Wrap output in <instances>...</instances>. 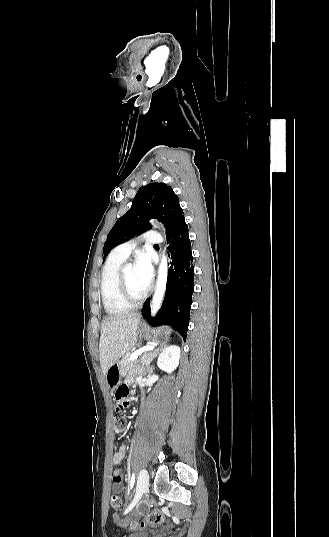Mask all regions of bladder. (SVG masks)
Here are the masks:
<instances>
[{
    "label": "bladder",
    "mask_w": 329,
    "mask_h": 537,
    "mask_svg": "<svg viewBox=\"0 0 329 537\" xmlns=\"http://www.w3.org/2000/svg\"><path fill=\"white\" fill-rule=\"evenodd\" d=\"M148 536H149V532L139 531V532L129 535L128 537H148Z\"/></svg>",
    "instance_id": "31cf9c89"
}]
</instances>
